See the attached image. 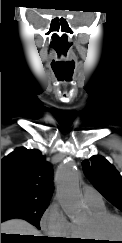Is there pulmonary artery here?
I'll return each instance as SVG.
<instances>
[{
    "mask_svg": "<svg viewBox=\"0 0 122 243\" xmlns=\"http://www.w3.org/2000/svg\"><path fill=\"white\" fill-rule=\"evenodd\" d=\"M82 190H83V198L86 203L93 204V203L102 202V197L100 193L93 187L84 186Z\"/></svg>",
    "mask_w": 122,
    "mask_h": 243,
    "instance_id": "e3ab8cb5",
    "label": "pulmonary artery"
}]
</instances>
